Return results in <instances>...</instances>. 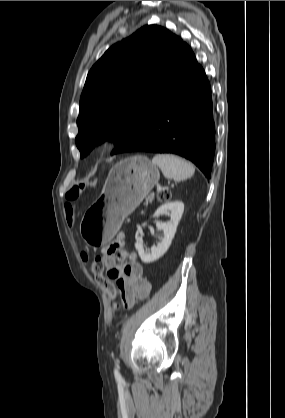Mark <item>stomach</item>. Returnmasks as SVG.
<instances>
[{
  "label": "stomach",
  "instance_id": "1",
  "mask_svg": "<svg viewBox=\"0 0 285 418\" xmlns=\"http://www.w3.org/2000/svg\"><path fill=\"white\" fill-rule=\"evenodd\" d=\"M159 179L157 166L146 156H131L115 164L102 194L81 220L80 233L84 240L94 246L108 243Z\"/></svg>",
  "mask_w": 285,
  "mask_h": 418
}]
</instances>
